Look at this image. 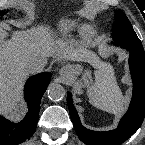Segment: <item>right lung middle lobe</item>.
Wrapping results in <instances>:
<instances>
[{"mask_svg":"<svg viewBox=\"0 0 145 145\" xmlns=\"http://www.w3.org/2000/svg\"><path fill=\"white\" fill-rule=\"evenodd\" d=\"M5 14V12L4 11H1L0 12V16H2V15H4Z\"/></svg>","mask_w":145,"mask_h":145,"instance_id":"dd1d6c3e","label":"right lung middle lobe"}]
</instances>
